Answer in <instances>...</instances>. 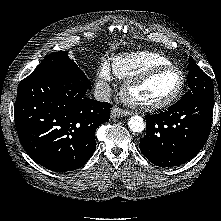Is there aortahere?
Wrapping results in <instances>:
<instances>
[{
  "instance_id": "1",
  "label": "aorta",
  "mask_w": 221,
  "mask_h": 221,
  "mask_svg": "<svg viewBox=\"0 0 221 221\" xmlns=\"http://www.w3.org/2000/svg\"><path fill=\"white\" fill-rule=\"evenodd\" d=\"M128 126L133 132L140 133L145 129V123L141 116H132L128 121Z\"/></svg>"
}]
</instances>
